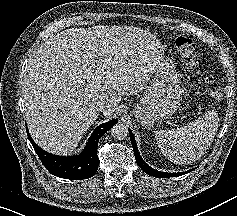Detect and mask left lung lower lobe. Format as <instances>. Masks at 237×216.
<instances>
[{
    "label": "left lung lower lobe",
    "instance_id": "left-lung-lower-lobe-1",
    "mask_svg": "<svg viewBox=\"0 0 237 216\" xmlns=\"http://www.w3.org/2000/svg\"><path fill=\"white\" fill-rule=\"evenodd\" d=\"M129 134H130V139H131L132 147H133V150H134V155H135L136 162L139 165V167L145 173H147L148 175L153 176V177H159V178L176 177V176L184 175V174L189 173V172L194 170V169H192V170H189V171H186V172H180V173L179 172L178 173H166V172H161V171H158V170H155V169L151 168L141 158V156H140V154L138 152V148L136 146V141L134 139V135H133V133L130 130H129Z\"/></svg>",
    "mask_w": 237,
    "mask_h": 216
}]
</instances>
